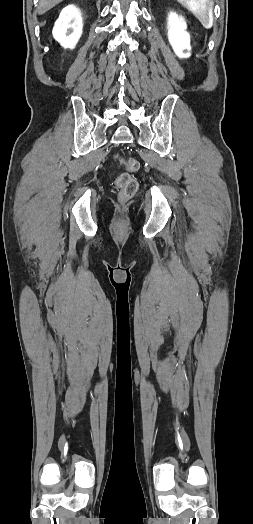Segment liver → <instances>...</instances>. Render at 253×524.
Here are the masks:
<instances>
[{
    "label": "liver",
    "mask_w": 253,
    "mask_h": 524,
    "mask_svg": "<svg viewBox=\"0 0 253 524\" xmlns=\"http://www.w3.org/2000/svg\"><path fill=\"white\" fill-rule=\"evenodd\" d=\"M63 0H40L38 5V14H44Z\"/></svg>",
    "instance_id": "liver-1"
}]
</instances>
